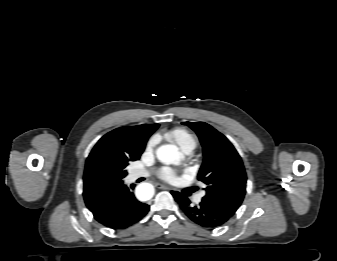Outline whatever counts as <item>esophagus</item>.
<instances>
[{"mask_svg":"<svg viewBox=\"0 0 337 261\" xmlns=\"http://www.w3.org/2000/svg\"><path fill=\"white\" fill-rule=\"evenodd\" d=\"M158 188L159 189H165V190H170L171 188L166 186V185H163V184H157Z\"/></svg>","mask_w":337,"mask_h":261,"instance_id":"34e87169","label":"esophagus"}]
</instances>
